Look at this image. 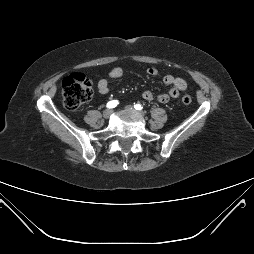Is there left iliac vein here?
<instances>
[{"label": "left iliac vein", "mask_w": 254, "mask_h": 254, "mask_svg": "<svg viewBox=\"0 0 254 254\" xmlns=\"http://www.w3.org/2000/svg\"><path fill=\"white\" fill-rule=\"evenodd\" d=\"M125 109H126L127 111H131V112L136 113V114H137L138 116H140V117H143V116H144L143 112L135 110L134 107H132L131 105L125 106Z\"/></svg>", "instance_id": "obj_1"}]
</instances>
